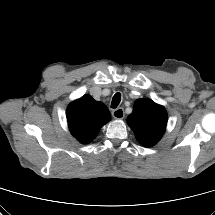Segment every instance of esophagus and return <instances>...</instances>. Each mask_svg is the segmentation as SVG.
<instances>
[{
    "label": "esophagus",
    "mask_w": 215,
    "mask_h": 215,
    "mask_svg": "<svg viewBox=\"0 0 215 215\" xmlns=\"http://www.w3.org/2000/svg\"><path fill=\"white\" fill-rule=\"evenodd\" d=\"M112 116L115 119H123L124 118V110L123 108H117L112 111Z\"/></svg>",
    "instance_id": "esophagus-1"
}]
</instances>
